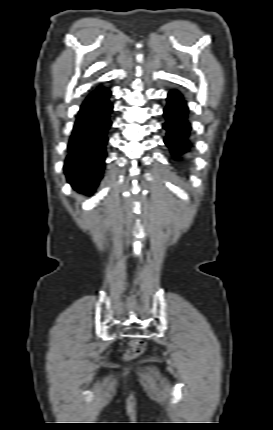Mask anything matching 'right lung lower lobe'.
I'll return each mask as SVG.
<instances>
[{
  "label": "right lung lower lobe",
  "mask_w": 273,
  "mask_h": 430,
  "mask_svg": "<svg viewBox=\"0 0 273 430\" xmlns=\"http://www.w3.org/2000/svg\"><path fill=\"white\" fill-rule=\"evenodd\" d=\"M110 95V90L102 86L90 93L80 107L68 144L65 174L75 190L87 195L94 192L105 168L112 125Z\"/></svg>",
  "instance_id": "obj_1"
}]
</instances>
